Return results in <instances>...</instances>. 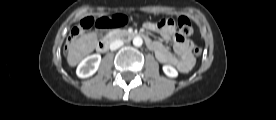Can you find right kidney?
I'll return each instance as SVG.
<instances>
[{
	"instance_id": "ca27d5eb",
	"label": "right kidney",
	"mask_w": 276,
	"mask_h": 120,
	"mask_svg": "<svg viewBox=\"0 0 276 120\" xmlns=\"http://www.w3.org/2000/svg\"><path fill=\"white\" fill-rule=\"evenodd\" d=\"M101 62L100 54H93L84 58L77 67L76 74L80 78L92 76L97 70Z\"/></svg>"
}]
</instances>
